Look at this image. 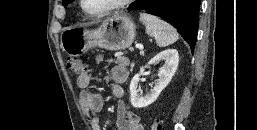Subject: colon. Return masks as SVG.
<instances>
[{"instance_id":"5ec220e1","label":"colon","mask_w":257,"mask_h":130,"mask_svg":"<svg viewBox=\"0 0 257 130\" xmlns=\"http://www.w3.org/2000/svg\"><path fill=\"white\" fill-rule=\"evenodd\" d=\"M67 67L75 74H82L86 71V66L83 61L76 57H69L67 59ZM151 130H162V127L158 121H154Z\"/></svg>"}]
</instances>
